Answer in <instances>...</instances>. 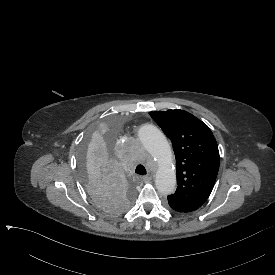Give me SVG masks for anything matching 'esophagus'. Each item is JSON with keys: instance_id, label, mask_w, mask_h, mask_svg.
I'll return each mask as SVG.
<instances>
[{"instance_id": "1", "label": "esophagus", "mask_w": 275, "mask_h": 275, "mask_svg": "<svg viewBox=\"0 0 275 275\" xmlns=\"http://www.w3.org/2000/svg\"><path fill=\"white\" fill-rule=\"evenodd\" d=\"M144 182H149L151 180V177L150 176H143L141 178Z\"/></svg>"}]
</instances>
